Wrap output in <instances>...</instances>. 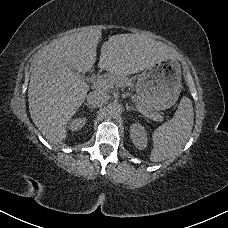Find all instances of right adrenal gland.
Wrapping results in <instances>:
<instances>
[{
	"label": "right adrenal gland",
	"instance_id": "obj_1",
	"mask_svg": "<svg viewBox=\"0 0 228 228\" xmlns=\"http://www.w3.org/2000/svg\"><path fill=\"white\" fill-rule=\"evenodd\" d=\"M84 105L87 106L91 111H93L95 109L93 106H90L87 103H84Z\"/></svg>",
	"mask_w": 228,
	"mask_h": 228
}]
</instances>
